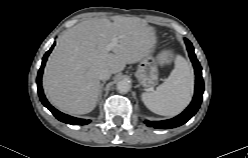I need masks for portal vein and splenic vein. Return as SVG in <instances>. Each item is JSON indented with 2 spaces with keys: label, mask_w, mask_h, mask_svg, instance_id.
<instances>
[{
  "label": "portal vein and splenic vein",
  "mask_w": 248,
  "mask_h": 158,
  "mask_svg": "<svg viewBox=\"0 0 248 158\" xmlns=\"http://www.w3.org/2000/svg\"><path fill=\"white\" fill-rule=\"evenodd\" d=\"M117 46H118V38L113 37L111 39V42L107 45L106 49H107V51H111Z\"/></svg>",
  "instance_id": "18ae733b"
}]
</instances>
